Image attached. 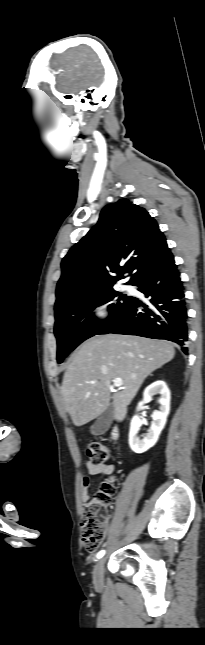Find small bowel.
Wrapping results in <instances>:
<instances>
[{"label":"small bowel","instance_id":"1","mask_svg":"<svg viewBox=\"0 0 205 645\" xmlns=\"http://www.w3.org/2000/svg\"><path fill=\"white\" fill-rule=\"evenodd\" d=\"M86 469L89 473L90 476H84L82 478V499L84 501H87L90 496V488L92 486V478L93 476H104V475H110L114 472V465L113 464H103V465H95L91 462L86 463Z\"/></svg>","mask_w":205,"mask_h":645}]
</instances>
